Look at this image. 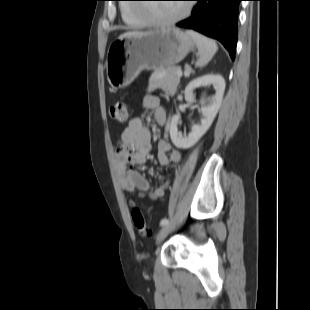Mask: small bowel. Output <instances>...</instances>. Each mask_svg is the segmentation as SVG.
I'll list each match as a JSON object with an SVG mask.
<instances>
[{"label": "small bowel", "instance_id": "c3829d8e", "mask_svg": "<svg viewBox=\"0 0 310 310\" xmlns=\"http://www.w3.org/2000/svg\"><path fill=\"white\" fill-rule=\"evenodd\" d=\"M142 108L154 113L157 124L164 125L167 121L165 109L158 97L147 95L142 99ZM151 146V133L140 117L132 118L122 132L114 147L115 167L121 188L130 194L155 200L162 197L169 186L163 181L155 189H151L148 180L135 167L143 164ZM158 162L161 166L179 164L181 153L173 149L166 140L158 142Z\"/></svg>", "mask_w": 310, "mask_h": 310}]
</instances>
